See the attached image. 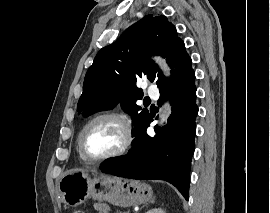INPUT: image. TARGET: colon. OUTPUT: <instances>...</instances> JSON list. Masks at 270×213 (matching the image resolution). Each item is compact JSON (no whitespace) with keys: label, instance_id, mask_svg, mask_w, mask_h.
Returning a JSON list of instances; mask_svg holds the SVG:
<instances>
[{"label":"colon","instance_id":"colon-1","mask_svg":"<svg viewBox=\"0 0 270 213\" xmlns=\"http://www.w3.org/2000/svg\"><path fill=\"white\" fill-rule=\"evenodd\" d=\"M73 213H84V212L77 210V211H74Z\"/></svg>","mask_w":270,"mask_h":213}]
</instances>
